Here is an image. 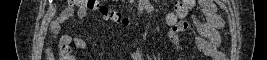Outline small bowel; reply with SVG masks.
Wrapping results in <instances>:
<instances>
[{
    "instance_id": "c3829d8e",
    "label": "small bowel",
    "mask_w": 267,
    "mask_h": 60,
    "mask_svg": "<svg viewBox=\"0 0 267 60\" xmlns=\"http://www.w3.org/2000/svg\"><path fill=\"white\" fill-rule=\"evenodd\" d=\"M189 6L181 14L173 26L169 30L167 37L173 44L176 50L181 53H185L186 50L181 42L180 34L189 33L194 41L196 48L205 56L213 60H225V54L219 49L221 44L220 29L224 26L223 19L217 14L216 6L212 0H188ZM198 6V13L204 17V21L198 19L196 15H192L189 20H183V17L188 13L190 9ZM78 13L79 17H83L86 13L81 9L77 11L76 3H68V5L62 11V15L58 21L53 25L54 32H58L62 23L69 17ZM73 41L74 46L77 49H84L87 46V41L82 35H77L73 39L68 35H63L58 43L59 49L65 56H68L72 52L70 46ZM149 49L144 47L143 49L134 51L133 55L136 59H140V55L143 50Z\"/></svg>"
}]
</instances>
